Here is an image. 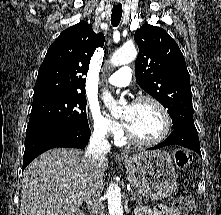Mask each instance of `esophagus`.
<instances>
[{"mask_svg": "<svg viewBox=\"0 0 221 215\" xmlns=\"http://www.w3.org/2000/svg\"><path fill=\"white\" fill-rule=\"evenodd\" d=\"M122 155H123L122 153H119V154H118V156H122Z\"/></svg>", "mask_w": 221, "mask_h": 215, "instance_id": "1", "label": "esophagus"}]
</instances>
